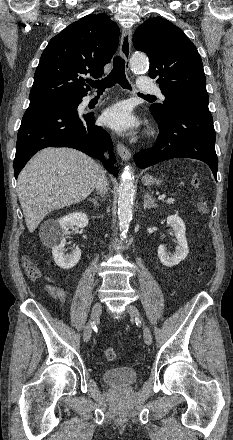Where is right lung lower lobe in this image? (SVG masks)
Here are the masks:
<instances>
[{
	"instance_id": "98d812e1",
	"label": "right lung lower lobe",
	"mask_w": 233,
	"mask_h": 440,
	"mask_svg": "<svg viewBox=\"0 0 233 440\" xmlns=\"http://www.w3.org/2000/svg\"><path fill=\"white\" fill-rule=\"evenodd\" d=\"M94 123L92 114L79 115L77 107L70 104L57 102L30 104L22 118L17 136L15 178L27 161L37 151L46 147L78 149L89 156L101 159L106 169L116 176L118 169L113 166L116 159L112 151L110 135ZM106 148L111 155L109 161H105L102 156Z\"/></svg>"
}]
</instances>
